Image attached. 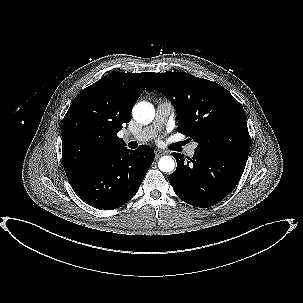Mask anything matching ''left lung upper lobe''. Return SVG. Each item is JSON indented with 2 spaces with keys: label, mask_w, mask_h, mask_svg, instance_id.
<instances>
[{
  "label": "left lung upper lobe",
  "mask_w": 303,
  "mask_h": 303,
  "mask_svg": "<svg viewBox=\"0 0 303 303\" xmlns=\"http://www.w3.org/2000/svg\"><path fill=\"white\" fill-rule=\"evenodd\" d=\"M146 90H157L177 111L178 132L198 143L196 149L249 153L242 105L221 85L185 72L156 73Z\"/></svg>",
  "instance_id": "1"
}]
</instances>
